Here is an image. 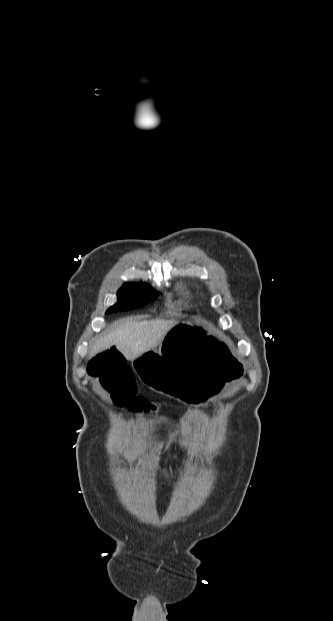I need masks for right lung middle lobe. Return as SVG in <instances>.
<instances>
[{"label": "right lung middle lobe", "instance_id": "obj_1", "mask_svg": "<svg viewBox=\"0 0 333 621\" xmlns=\"http://www.w3.org/2000/svg\"><path fill=\"white\" fill-rule=\"evenodd\" d=\"M160 293L145 283H125L118 291V302L110 307L106 313L130 310L143 306L154 300Z\"/></svg>", "mask_w": 333, "mask_h": 621}]
</instances>
